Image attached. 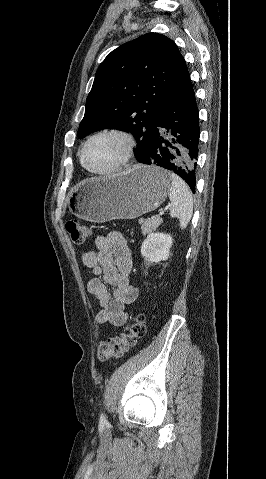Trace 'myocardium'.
Segmentation results:
<instances>
[{"label":"myocardium","instance_id":"myocardium-1","mask_svg":"<svg viewBox=\"0 0 266 479\" xmlns=\"http://www.w3.org/2000/svg\"><path fill=\"white\" fill-rule=\"evenodd\" d=\"M107 135L116 136V137H119L120 139H122V141L124 142V150H123L122 156H121L120 160L118 161V163L115 166H113L112 168H110L108 170H103V171L95 170V169L91 168L87 163V158H86L87 157V151H88L91 143L94 140H96L99 137L107 136ZM134 144H135L134 137L132 136V134H130L129 132H127L125 130H122V129H119V128L103 129L101 131H98V132L94 133L86 141V143H85V145L82 149V153H81L82 164L89 172H91L92 174H95V175H102L103 176V175L113 174V173L121 170L126 165V163L129 161V159L132 155V152H133Z\"/></svg>","mask_w":266,"mask_h":479}]
</instances>
